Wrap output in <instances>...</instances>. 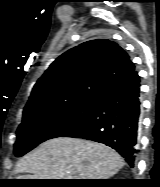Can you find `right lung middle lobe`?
Returning a JSON list of instances; mask_svg holds the SVG:
<instances>
[{
	"instance_id": "dd1d6c3e",
	"label": "right lung middle lobe",
	"mask_w": 160,
	"mask_h": 187,
	"mask_svg": "<svg viewBox=\"0 0 160 187\" xmlns=\"http://www.w3.org/2000/svg\"><path fill=\"white\" fill-rule=\"evenodd\" d=\"M98 102L99 99L82 98L24 111L14 154L21 157L40 143L74 129L93 113Z\"/></svg>"
}]
</instances>
